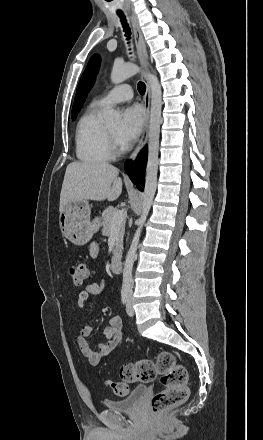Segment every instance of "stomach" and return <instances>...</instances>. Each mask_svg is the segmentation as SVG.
<instances>
[{
    "label": "stomach",
    "mask_w": 263,
    "mask_h": 440,
    "mask_svg": "<svg viewBox=\"0 0 263 440\" xmlns=\"http://www.w3.org/2000/svg\"><path fill=\"white\" fill-rule=\"evenodd\" d=\"M91 205L87 200L68 202L59 215L63 235L76 245H84L98 230V224L91 221Z\"/></svg>",
    "instance_id": "1"
}]
</instances>
